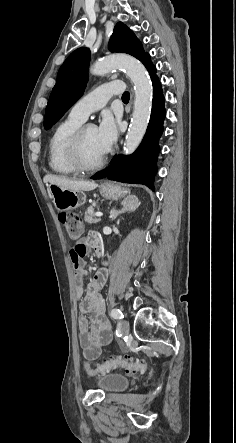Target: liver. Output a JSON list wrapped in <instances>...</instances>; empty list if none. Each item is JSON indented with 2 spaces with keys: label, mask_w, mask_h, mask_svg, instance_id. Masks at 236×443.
<instances>
[{
  "label": "liver",
  "mask_w": 236,
  "mask_h": 443,
  "mask_svg": "<svg viewBox=\"0 0 236 443\" xmlns=\"http://www.w3.org/2000/svg\"><path fill=\"white\" fill-rule=\"evenodd\" d=\"M44 183L55 184L64 189L73 191H90L97 187L93 181L72 180L63 176H56L48 174L43 178Z\"/></svg>",
  "instance_id": "liver-1"
}]
</instances>
